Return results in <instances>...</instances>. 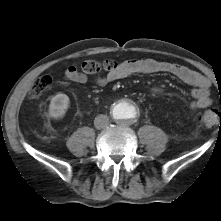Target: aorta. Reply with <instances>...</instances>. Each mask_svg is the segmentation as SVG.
Listing matches in <instances>:
<instances>
[{"label": "aorta", "instance_id": "aorta-1", "mask_svg": "<svg viewBox=\"0 0 221 221\" xmlns=\"http://www.w3.org/2000/svg\"><path fill=\"white\" fill-rule=\"evenodd\" d=\"M111 115L116 122L129 124L137 119L139 108L133 101L122 99L113 105Z\"/></svg>", "mask_w": 221, "mask_h": 221}]
</instances>
